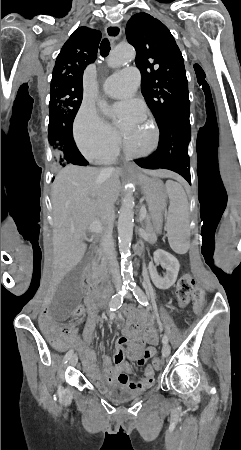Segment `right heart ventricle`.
Instances as JSON below:
<instances>
[{
	"mask_svg": "<svg viewBox=\"0 0 241 450\" xmlns=\"http://www.w3.org/2000/svg\"><path fill=\"white\" fill-rule=\"evenodd\" d=\"M115 160V154L111 156L109 159L105 160L106 162H112Z\"/></svg>",
	"mask_w": 241,
	"mask_h": 450,
	"instance_id": "right-heart-ventricle-1",
	"label": "right heart ventricle"
}]
</instances>
